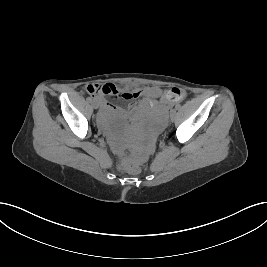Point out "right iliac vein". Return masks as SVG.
I'll return each instance as SVG.
<instances>
[{"label":"right iliac vein","instance_id":"obj_1","mask_svg":"<svg viewBox=\"0 0 267 267\" xmlns=\"http://www.w3.org/2000/svg\"><path fill=\"white\" fill-rule=\"evenodd\" d=\"M92 106H93V108L97 109L98 108V103L96 101H92Z\"/></svg>","mask_w":267,"mask_h":267}]
</instances>
